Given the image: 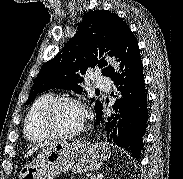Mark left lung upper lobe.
<instances>
[{"label":"left lung upper lobe","mask_w":183,"mask_h":179,"mask_svg":"<svg viewBox=\"0 0 183 179\" xmlns=\"http://www.w3.org/2000/svg\"><path fill=\"white\" fill-rule=\"evenodd\" d=\"M129 26L117 14L108 10L90 11L85 14L76 34L71 38L53 59L46 62L35 78L30 90L27 105L38 93L52 88L73 90L81 93L83 88L78 85L84 78L81 75L91 67L98 66L102 74L109 77L113 68L101 59L104 52L117 58ZM91 101H95L91 99ZM102 104L96 100V115L102 111Z\"/></svg>","instance_id":"obj_1"}]
</instances>
